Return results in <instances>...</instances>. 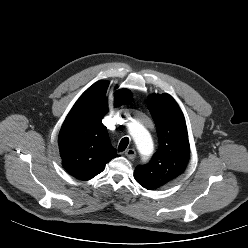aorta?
I'll use <instances>...</instances> for the list:
<instances>
[{
  "mask_svg": "<svg viewBox=\"0 0 248 248\" xmlns=\"http://www.w3.org/2000/svg\"><path fill=\"white\" fill-rule=\"evenodd\" d=\"M129 133L132 136L139 153L149 157L153 152V141L149 132L138 122L129 125Z\"/></svg>",
  "mask_w": 248,
  "mask_h": 248,
  "instance_id": "obj_1",
  "label": "aorta"
}]
</instances>
